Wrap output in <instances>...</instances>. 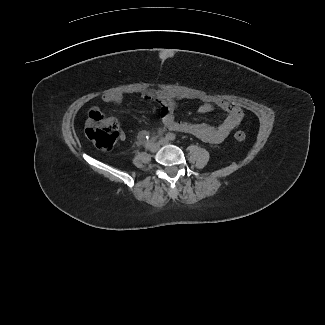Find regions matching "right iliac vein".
<instances>
[{
  "mask_svg": "<svg viewBox=\"0 0 325 325\" xmlns=\"http://www.w3.org/2000/svg\"><path fill=\"white\" fill-rule=\"evenodd\" d=\"M160 148V144L159 143H153L150 147L149 150L153 153L157 152Z\"/></svg>",
  "mask_w": 325,
  "mask_h": 325,
  "instance_id": "right-iliac-vein-1",
  "label": "right iliac vein"
}]
</instances>
